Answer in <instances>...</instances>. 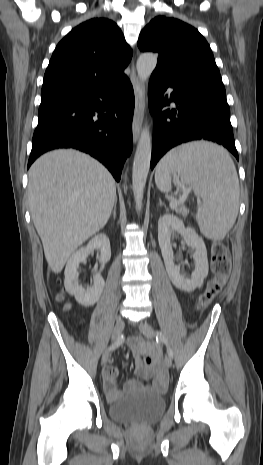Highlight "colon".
Instances as JSON below:
<instances>
[{
	"label": "colon",
	"mask_w": 263,
	"mask_h": 465,
	"mask_svg": "<svg viewBox=\"0 0 263 465\" xmlns=\"http://www.w3.org/2000/svg\"><path fill=\"white\" fill-rule=\"evenodd\" d=\"M211 271L212 278L208 281L205 290L198 299L199 310L207 308L222 291L231 271L228 250L221 242H213L211 244Z\"/></svg>",
	"instance_id": "5ec220e1"
}]
</instances>
